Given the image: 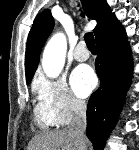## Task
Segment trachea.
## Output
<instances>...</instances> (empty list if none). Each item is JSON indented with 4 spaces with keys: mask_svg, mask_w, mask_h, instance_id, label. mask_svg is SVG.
Here are the masks:
<instances>
[{
    "mask_svg": "<svg viewBox=\"0 0 139 150\" xmlns=\"http://www.w3.org/2000/svg\"><path fill=\"white\" fill-rule=\"evenodd\" d=\"M84 16V14H81ZM85 43L89 49H96L93 33L89 32L84 35Z\"/></svg>",
    "mask_w": 139,
    "mask_h": 150,
    "instance_id": "1",
    "label": "trachea"
}]
</instances>
